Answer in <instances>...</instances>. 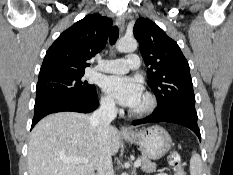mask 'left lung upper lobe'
I'll return each mask as SVG.
<instances>
[{
  "mask_svg": "<svg viewBox=\"0 0 233 175\" xmlns=\"http://www.w3.org/2000/svg\"><path fill=\"white\" fill-rule=\"evenodd\" d=\"M133 33L147 69L148 85L157 97L155 112L195 105L189 64L178 44L149 19H138Z\"/></svg>",
  "mask_w": 233,
  "mask_h": 175,
  "instance_id": "obj_1",
  "label": "left lung upper lobe"
}]
</instances>
